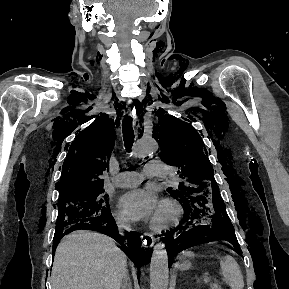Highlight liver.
Returning <instances> with one entry per match:
<instances>
[{
  "label": "liver",
  "mask_w": 289,
  "mask_h": 289,
  "mask_svg": "<svg viewBox=\"0 0 289 289\" xmlns=\"http://www.w3.org/2000/svg\"><path fill=\"white\" fill-rule=\"evenodd\" d=\"M127 257L102 234L77 231L56 249L52 289H120Z\"/></svg>",
  "instance_id": "6515ba94"
}]
</instances>
